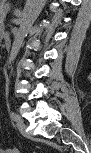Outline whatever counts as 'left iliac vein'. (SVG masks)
Returning a JSON list of instances; mask_svg holds the SVG:
<instances>
[{"mask_svg": "<svg viewBox=\"0 0 91 153\" xmlns=\"http://www.w3.org/2000/svg\"><path fill=\"white\" fill-rule=\"evenodd\" d=\"M16 125H17V129L19 130V132L25 136V137H28L29 134L26 132V125L24 124L23 120L22 119H18L16 121Z\"/></svg>", "mask_w": 91, "mask_h": 153, "instance_id": "1", "label": "left iliac vein"}]
</instances>
